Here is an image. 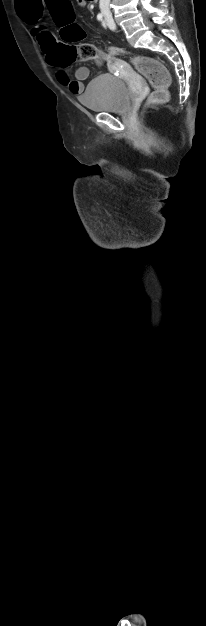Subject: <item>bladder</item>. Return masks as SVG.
Returning a JSON list of instances; mask_svg holds the SVG:
<instances>
[{
  "mask_svg": "<svg viewBox=\"0 0 206 626\" xmlns=\"http://www.w3.org/2000/svg\"><path fill=\"white\" fill-rule=\"evenodd\" d=\"M79 101L91 111L122 112L130 105V92L122 79L102 75L89 83Z\"/></svg>",
  "mask_w": 206,
  "mask_h": 626,
  "instance_id": "obj_1",
  "label": "bladder"
}]
</instances>
